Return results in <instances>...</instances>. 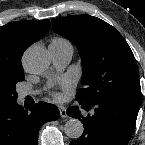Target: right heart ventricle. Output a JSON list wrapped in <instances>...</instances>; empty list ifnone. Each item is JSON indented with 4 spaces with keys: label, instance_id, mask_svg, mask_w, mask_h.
<instances>
[{
    "label": "right heart ventricle",
    "instance_id": "right-heart-ventricle-1",
    "mask_svg": "<svg viewBox=\"0 0 145 145\" xmlns=\"http://www.w3.org/2000/svg\"><path fill=\"white\" fill-rule=\"evenodd\" d=\"M50 46H54V47L70 46V47H72V44L66 38L61 37V36H57V37H54L51 39Z\"/></svg>",
    "mask_w": 145,
    "mask_h": 145
}]
</instances>
